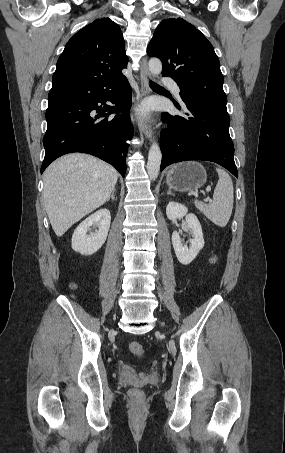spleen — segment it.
<instances>
[{
  "instance_id": "1",
  "label": "spleen",
  "mask_w": 285,
  "mask_h": 453,
  "mask_svg": "<svg viewBox=\"0 0 285 453\" xmlns=\"http://www.w3.org/2000/svg\"><path fill=\"white\" fill-rule=\"evenodd\" d=\"M216 171L219 180L214 190L212 203L206 204L195 200L194 204L211 222L219 227H225L233 209V183L226 171L221 168H216Z\"/></svg>"
}]
</instances>
